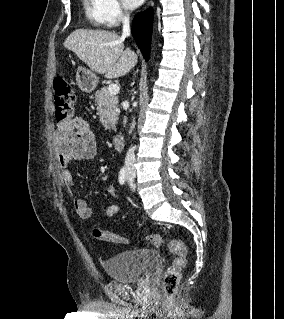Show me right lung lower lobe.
<instances>
[{"label": "right lung lower lobe", "instance_id": "right-lung-lower-lobe-1", "mask_svg": "<svg viewBox=\"0 0 284 319\" xmlns=\"http://www.w3.org/2000/svg\"><path fill=\"white\" fill-rule=\"evenodd\" d=\"M152 25L153 11L151 9L137 14L132 22V35L146 60L149 59Z\"/></svg>", "mask_w": 284, "mask_h": 319}]
</instances>
